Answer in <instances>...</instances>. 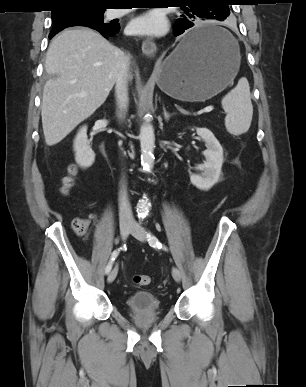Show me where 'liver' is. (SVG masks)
I'll return each instance as SVG.
<instances>
[{"label": "liver", "instance_id": "obj_1", "mask_svg": "<svg viewBox=\"0 0 306 387\" xmlns=\"http://www.w3.org/2000/svg\"><path fill=\"white\" fill-rule=\"evenodd\" d=\"M124 56L88 28L67 29L51 41L45 70L53 77L44 86L41 104L48 146L62 141L105 102Z\"/></svg>", "mask_w": 306, "mask_h": 387}]
</instances>
